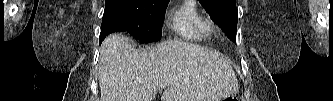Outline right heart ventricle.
<instances>
[{"mask_svg":"<svg viewBox=\"0 0 333 101\" xmlns=\"http://www.w3.org/2000/svg\"><path fill=\"white\" fill-rule=\"evenodd\" d=\"M171 28L180 37L193 41L206 40L211 32L208 17L194 0L184 1L173 13Z\"/></svg>","mask_w":333,"mask_h":101,"instance_id":"1","label":"right heart ventricle"}]
</instances>
